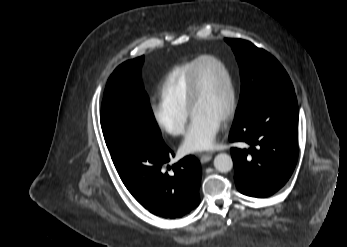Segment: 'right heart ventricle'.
I'll return each mask as SVG.
<instances>
[{"label": "right heart ventricle", "instance_id": "obj_1", "mask_svg": "<svg viewBox=\"0 0 347 247\" xmlns=\"http://www.w3.org/2000/svg\"><path fill=\"white\" fill-rule=\"evenodd\" d=\"M197 60L198 58L177 65L169 71L160 87L161 100L170 105L188 110V85L191 71Z\"/></svg>", "mask_w": 347, "mask_h": 247}]
</instances>
